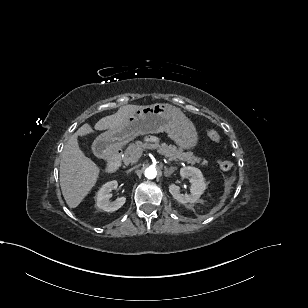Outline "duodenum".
<instances>
[{"label": "duodenum", "instance_id": "duodenum-1", "mask_svg": "<svg viewBox=\"0 0 308 308\" xmlns=\"http://www.w3.org/2000/svg\"><path fill=\"white\" fill-rule=\"evenodd\" d=\"M98 154L108 161V172H115L121 163L122 149L115 145H101Z\"/></svg>", "mask_w": 308, "mask_h": 308}]
</instances>
